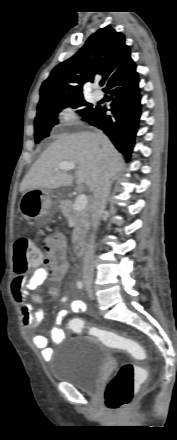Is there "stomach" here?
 Listing matches in <instances>:
<instances>
[{"label":"stomach","mask_w":177,"mask_h":440,"mask_svg":"<svg viewBox=\"0 0 177 440\" xmlns=\"http://www.w3.org/2000/svg\"><path fill=\"white\" fill-rule=\"evenodd\" d=\"M19 211L24 217L38 224H46L56 213L57 206L49 191L31 189L23 193L19 201Z\"/></svg>","instance_id":"1"}]
</instances>
